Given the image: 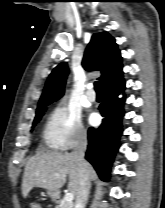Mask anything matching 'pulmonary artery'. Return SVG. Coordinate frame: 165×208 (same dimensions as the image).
Wrapping results in <instances>:
<instances>
[{"instance_id": "e3ab8cb5", "label": "pulmonary artery", "mask_w": 165, "mask_h": 208, "mask_svg": "<svg viewBox=\"0 0 165 208\" xmlns=\"http://www.w3.org/2000/svg\"><path fill=\"white\" fill-rule=\"evenodd\" d=\"M86 99L90 102H93L96 100V95L93 92L88 91L86 94Z\"/></svg>"}]
</instances>
